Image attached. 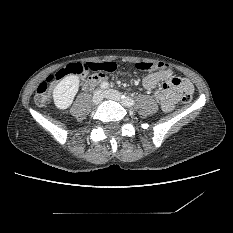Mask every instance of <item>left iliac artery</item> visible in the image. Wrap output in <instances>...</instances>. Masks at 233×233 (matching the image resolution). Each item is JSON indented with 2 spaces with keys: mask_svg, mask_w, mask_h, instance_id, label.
<instances>
[{
  "mask_svg": "<svg viewBox=\"0 0 233 233\" xmlns=\"http://www.w3.org/2000/svg\"><path fill=\"white\" fill-rule=\"evenodd\" d=\"M121 98H122V101H123L126 105H128V106L134 105V100H133L132 98L127 97V96H125V95H122Z\"/></svg>",
  "mask_w": 233,
  "mask_h": 233,
  "instance_id": "obj_1",
  "label": "left iliac artery"
}]
</instances>
